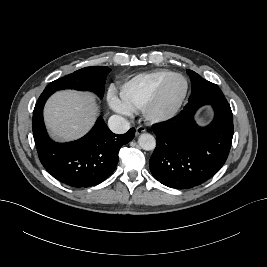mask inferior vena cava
<instances>
[{
  "label": "inferior vena cava",
  "mask_w": 267,
  "mask_h": 267,
  "mask_svg": "<svg viewBox=\"0 0 267 267\" xmlns=\"http://www.w3.org/2000/svg\"><path fill=\"white\" fill-rule=\"evenodd\" d=\"M109 129L116 134H124L128 131L129 122L120 115H112L108 120Z\"/></svg>",
  "instance_id": "602c4592"
}]
</instances>
